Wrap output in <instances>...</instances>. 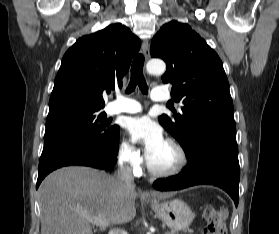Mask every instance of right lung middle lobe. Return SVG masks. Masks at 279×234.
<instances>
[{
    "label": "right lung middle lobe",
    "instance_id": "1",
    "mask_svg": "<svg viewBox=\"0 0 279 234\" xmlns=\"http://www.w3.org/2000/svg\"><path fill=\"white\" fill-rule=\"evenodd\" d=\"M118 125H110L101 109L66 106L49 110L44 142L68 135L83 136L109 149L119 134Z\"/></svg>",
    "mask_w": 279,
    "mask_h": 234
}]
</instances>
